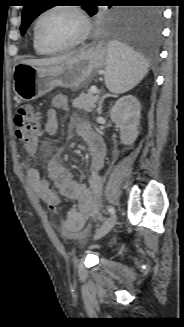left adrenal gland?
<instances>
[{"mask_svg": "<svg viewBox=\"0 0 184 327\" xmlns=\"http://www.w3.org/2000/svg\"><path fill=\"white\" fill-rule=\"evenodd\" d=\"M110 95L109 94H106V95H103L99 101V106H98V109H97V112L98 114H101L102 112V104H103V101L105 98L109 97Z\"/></svg>", "mask_w": 184, "mask_h": 327, "instance_id": "left-adrenal-gland-1", "label": "left adrenal gland"}]
</instances>
